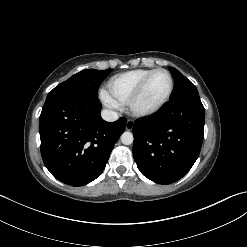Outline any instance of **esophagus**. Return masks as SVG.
Here are the masks:
<instances>
[{
  "label": "esophagus",
  "instance_id": "1",
  "mask_svg": "<svg viewBox=\"0 0 247 247\" xmlns=\"http://www.w3.org/2000/svg\"><path fill=\"white\" fill-rule=\"evenodd\" d=\"M133 127H134V121L130 119L127 120L126 125H125L126 130L130 131L133 129Z\"/></svg>",
  "mask_w": 247,
  "mask_h": 247
}]
</instances>
